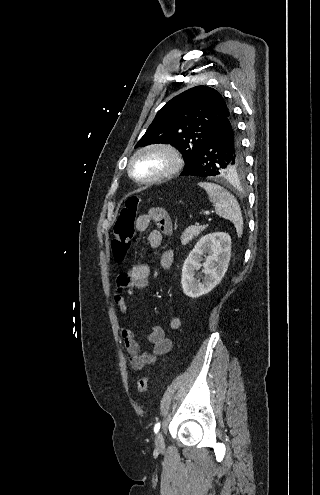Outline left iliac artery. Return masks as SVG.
I'll return each mask as SVG.
<instances>
[{
    "label": "left iliac artery",
    "instance_id": "left-iliac-artery-1",
    "mask_svg": "<svg viewBox=\"0 0 320 495\" xmlns=\"http://www.w3.org/2000/svg\"><path fill=\"white\" fill-rule=\"evenodd\" d=\"M160 429V422L156 423L154 426V432L157 433Z\"/></svg>",
    "mask_w": 320,
    "mask_h": 495
}]
</instances>
